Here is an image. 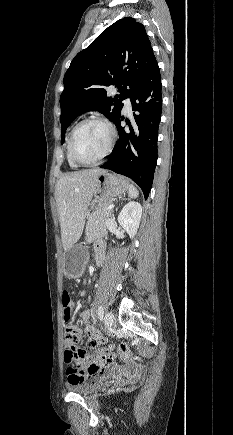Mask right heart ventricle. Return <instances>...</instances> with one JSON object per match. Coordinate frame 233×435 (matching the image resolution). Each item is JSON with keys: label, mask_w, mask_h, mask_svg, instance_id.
<instances>
[{"label": "right heart ventricle", "mask_w": 233, "mask_h": 435, "mask_svg": "<svg viewBox=\"0 0 233 435\" xmlns=\"http://www.w3.org/2000/svg\"><path fill=\"white\" fill-rule=\"evenodd\" d=\"M68 143H69V140L67 141V144H66V158H67V163H68L69 167L75 169V168H77L78 166L73 162V160L71 159V157H70V155H69Z\"/></svg>", "instance_id": "obj_1"}]
</instances>
